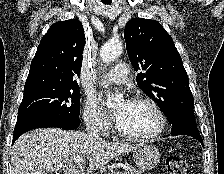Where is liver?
Wrapping results in <instances>:
<instances>
[{
  "label": "liver",
  "instance_id": "liver-1",
  "mask_svg": "<svg viewBox=\"0 0 224 174\" xmlns=\"http://www.w3.org/2000/svg\"><path fill=\"white\" fill-rule=\"evenodd\" d=\"M138 147L97 141L79 131L42 128L21 135L13 145V174H48L63 168L64 174H80L74 159L87 157L92 170L101 169L114 157ZM74 161V162H73Z\"/></svg>",
  "mask_w": 224,
  "mask_h": 174
}]
</instances>
